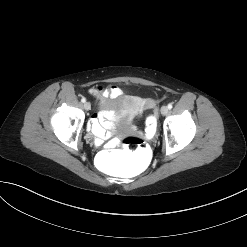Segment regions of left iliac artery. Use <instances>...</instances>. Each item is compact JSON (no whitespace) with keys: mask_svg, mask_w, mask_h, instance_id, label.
Here are the masks:
<instances>
[{"mask_svg":"<svg viewBox=\"0 0 247 247\" xmlns=\"http://www.w3.org/2000/svg\"><path fill=\"white\" fill-rule=\"evenodd\" d=\"M172 107V104H168V109H171Z\"/></svg>","mask_w":247,"mask_h":247,"instance_id":"left-iliac-artery-1","label":"left iliac artery"}]
</instances>
